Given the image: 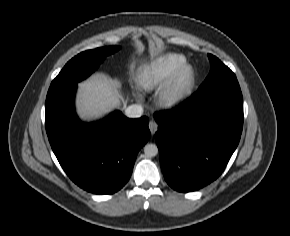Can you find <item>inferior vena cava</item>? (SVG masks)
Returning a JSON list of instances; mask_svg holds the SVG:
<instances>
[{
	"mask_svg": "<svg viewBox=\"0 0 290 236\" xmlns=\"http://www.w3.org/2000/svg\"><path fill=\"white\" fill-rule=\"evenodd\" d=\"M143 114V107L138 104L130 105L125 110V115L129 118H139Z\"/></svg>",
	"mask_w": 290,
	"mask_h": 236,
	"instance_id": "602c4592",
	"label": "inferior vena cava"
}]
</instances>
